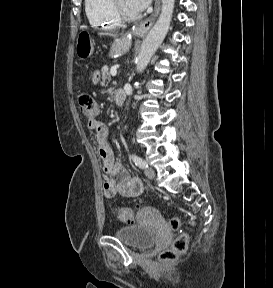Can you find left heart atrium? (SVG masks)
Listing matches in <instances>:
<instances>
[{
    "label": "left heart atrium",
    "mask_w": 273,
    "mask_h": 288,
    "mask_svg": "<svg viewBox=\"0 0 273 288\" xmlns=\"http://www.w3.org/2000/svg\"><path fill=\"white\" fill-rule=\"evenodd\" d=\"M130 6L137 12H142L149 5L151 0H128Z\"/></svg>",
    "instance_id": "39dd6f15"
}]
</instances>
